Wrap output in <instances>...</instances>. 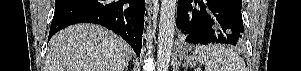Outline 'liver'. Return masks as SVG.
Segmentation results:
<instances>
[{
  "label": "liver",
  "mask_w": 301,
  "mask_h": 71,
  "mask_svg": "<svg viewBox=\"0 0 301 71\" xmlns=\"http://www.w3.org/2000/svg\"><path fill=\"white\" fill-rule=\"evenodd\" d=\"M133 51L120 36L94 24H76L55 34L45 71H124Z\"/></svg>",
  "instance_id": "6515ba94"
}]
</instances>
